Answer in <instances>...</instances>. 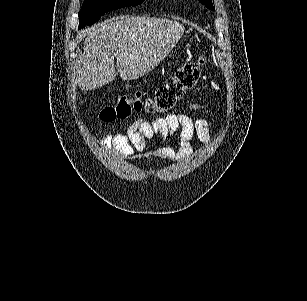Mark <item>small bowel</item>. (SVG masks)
I'll use <instances>...</instances> for the list:
<instances>
[{"instance_id": "obj_1", "label": "small bowel", "mask_w": 307, "mask_h": 301, "mask_svg": "<svg viewBox=\"0 0 307 301\" xmlns=\"http://www.w3.org/2000/svg\"><path fill=\"white\" fill-rule=\"evenodd\" d=\"M206 104L191 103L190 111H201ZM212 122L206 118L193 119L186 113H170L162 118H140L132 122L125 132L106 134L99 139L102 147L112 148L124 158H130L136 151H143L146 141L156 136L163 142L177 136L178 147H160L154 156L160 160L180 162L187 159L191 153V140L197 138L204 144H210Z\"/></svg>"}]
</instances>
